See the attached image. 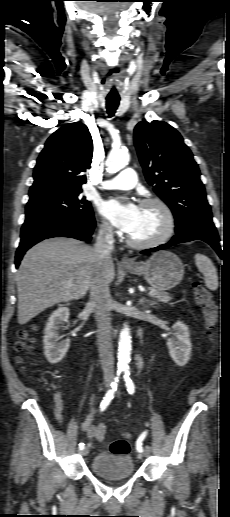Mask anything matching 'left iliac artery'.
Here are the masks:
<instances>
[{
	"label": "left iliac artery",
	"instance_id": "left-iliac-artery-1",
	"mask_svg": "<svg viewBox=\"0 0 230 517\" xmlns=\"http://www.w3.org/2000/svg\"><path fill=\"white\" fill-rule=\"evenodd\" d=\"M124 381H125V385H126V388H127V391L129 392V394H133L135 392V386H134L132 379L130 378V372L127 370L125 371ZM145 437H146V432H143L136 441V449L138 452L143 451L142 442L145 439Z\"/></svg>",
	"mask_w": 230,
	"mask_h": 517
}]
</instances>
